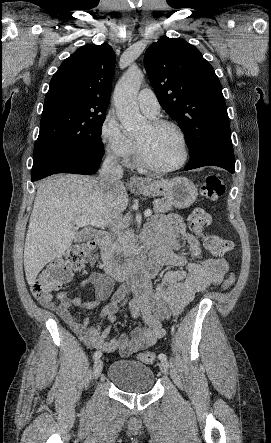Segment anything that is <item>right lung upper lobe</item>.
<instances>
[{
  "label": "right lung upper lobe",
  "instance_id": "1",
  "mask_svg": "<svg viewBox=\"0 0 271 443\" xmlns=\"http://www.w3.org/2000/svg\"><path fill=\"white\" fill-rule=\"evenodd\" d=\"M114 69L115 54L110 45L82 46L53 75L44 104L68 100L107 109Z\"/></svg>",
  "mask_w": 271,
  "mask_h": 443
}]
</instances>
